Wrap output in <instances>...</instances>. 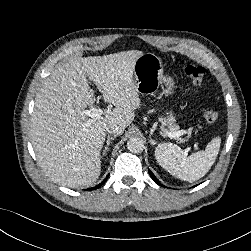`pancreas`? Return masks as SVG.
<instances>
[{"instance_id": "obj_1", "label": "pancreas", "mask_w": 251, "mask_h": 251, "mask_svg": "<svg viewBox=\"0 0 251 251\" xmlns=\"http://www.w3.org/2000/svg\"><path fill=\"white\" fill-rule=\"evenodd\" d=\"M162 130L168 131L169 133H173V132H176L178 130V126H176L174 124V125H171L168 129H165L164 127H162Z\"/></svg>"}]
</instances>
